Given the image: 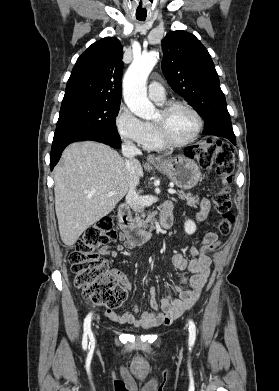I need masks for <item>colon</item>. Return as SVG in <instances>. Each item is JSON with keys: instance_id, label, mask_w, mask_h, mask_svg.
<instances>
[{"instance_id": "1", "label": "colon", "mask_w": 279, "mask_h": 391, "mask_svg": "<svg viewBox=\"0 0 279 391\" xmlns=\"http://www.w3.org/2000/svg\"><path fill=\"white\" fill-rule=\"evenodd\" d=\"M190 154L204 169L215 168L223 180L231 177L234 154L224 142L208 138L194 147ZM213 208L219 214V232L226 236L231 231L235 217L231 212V197L223 187L213 197ZM116 239L114 219L106 216L89 226L76 241L69 256L75 285L83 297L93 305L114 310L126 299V290L118 283L116 276L109 270L107 260L101 258L97 250ZM216 240L205 247L206 252L216 249Z\"/></svg>"}]
</instances>
